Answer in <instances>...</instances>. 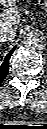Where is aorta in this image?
<instances>
[{"instance_id":"aorta-1","label":"aorta","mask_w":47,"mask_h":129,"mask_svg":"<svg viewBox=\"0 0 47 129\" xmlns=\"http://www.w3.org/2000/svg\"><path fill=\"white\" fill-rule=\"evenodd\" d=\"M23 44L31 50L40 49L45 45V38L40 32L31 30L25 33Z\"/></svg>"}]
</instances>
